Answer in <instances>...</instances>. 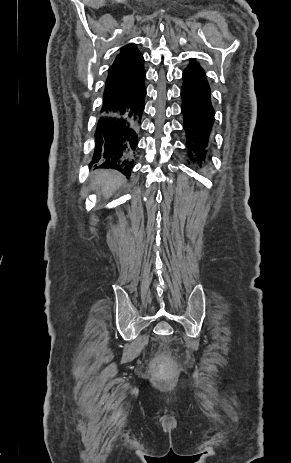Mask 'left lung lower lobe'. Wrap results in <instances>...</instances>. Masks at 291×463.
Wrapping results in <instances>:
<instances>
[{"label": "left lung lower lobe", "instance_id": "obj_1", "mask_svg": "<svg viewBox=\"0 0 291 463\" xmlns=\"http://www.w3.org/2000/svg\"><path fill=\"white\" fill-rule=\"evenodd\" d=\"M181 112L186 147L191 160L200 166L206 162L214 124L210 87L203 70L187 67L182 75Z\"/></svg>", "mask_w": 291, "mask_h": 463}]
</instances>
